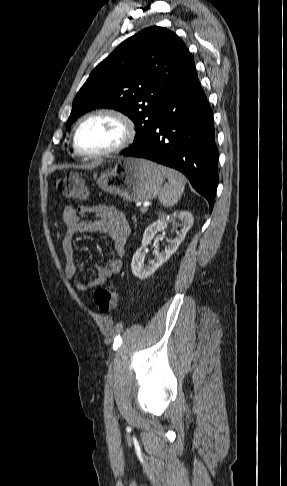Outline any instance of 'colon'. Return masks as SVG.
I'll use <instances>...</instances> for the list:
<instances>
[{
  "label": "colon",
  "instance_id": "1",
  "mask_svg": "<svg viewBox=\"0 0 287 486\" xmlns=\"http://www.w3.org/2000/svg\"><path fill=\"white\" fill-rule=\"evenodd\" d=\"M56 190L64 197L83 199L87 195L86 181L78 174L71 173L55 181ZM118 295L108 288H98L94 292L93 300L102 313L114 310L118 304Z\"/></svg>",
  "mask_w": 287,
  "mask_h": 486
}]
</instances>
